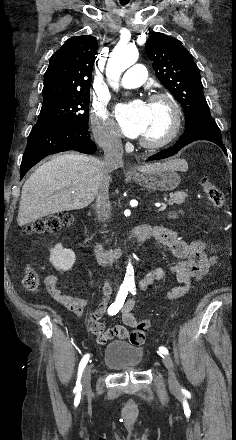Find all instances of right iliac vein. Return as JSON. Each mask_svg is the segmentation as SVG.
I'll return each mask as SVG.
<instances>
[{
    "label": "right iliac vein",
    "mask_w": 236,
    "mask_h": 440,
    "mask_svg": "<svg viewBox=\"0 0 236 440\" xmlns=\"http://www.w3.org/2000/svg\"><path fill=\"white\" fill-rule=\"evenodd\" d=\"M91 371H92V365H88L83 372V377H82L83 390H88L90 388Z\"/></svg>",
    "instance_id": "1"
}]
</instances>
